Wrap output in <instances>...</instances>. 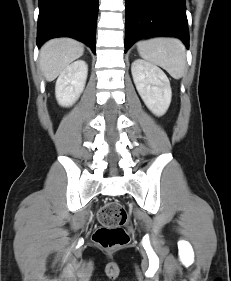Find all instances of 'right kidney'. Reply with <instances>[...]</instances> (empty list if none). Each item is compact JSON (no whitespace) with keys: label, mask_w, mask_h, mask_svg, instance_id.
Listing matches in <instances>:
<instances>
[{"label":"right kidney","mask_w":231,"mask_h":281,"mask_svg":"<svg viewBox=\"0 0 231 281\" xmlns=\"http://www.w3.org/2000/svg\"><path fill=\"white\" fill-rule=\"evenodd\" d=\"M87 72L88 67L83 60L75 61L61 72L55 86L56 99L61 106H71L80 97Z\"/></svg>","instance_id":"right-kidney-1"}]
</instances>
